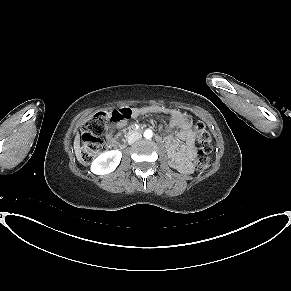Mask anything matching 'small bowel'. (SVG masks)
Here are the masks:
<instances>
[{
  "label": "small bowel",
  "instance_id": "small-bowel-1",
  "mask_svg": "<svg viewBox=\"0 0 291 291\" xmlns=\"http://www.w3.org/2000/svg\"><path fill=\"white\" fill-rule=\"evenodd\" d=\"M158 113L167 114L169 117V126L172 129H178V138L184 142L180 146L172 135L165 136V142L168 145L170 158L174 165L183 173H190L192 167L190 161L196 155V132L192 123L187 120L186 115L178 109H169L162 106L151 105L141 108H134L131 117L138 118L145 114ZM128 123V119L115 121L107 133L106 139L110 145H113L114 134L113 128H122Z\"/></svg>",
  "mask_w": 291,
  "mask_h": 291
}]
</instances>
